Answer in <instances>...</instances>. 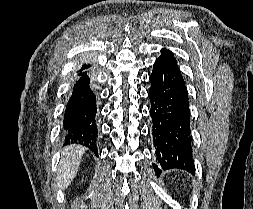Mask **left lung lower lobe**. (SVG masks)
Listing matches in <instances>:
<instances>
[{
    "instance_id": "left-lung-lower-lobe-1",
    "label": "left lung lower lobe",
    "mask_w": 253,
    "mask_h": 209,
    "mask_svg": "<svg viewBox=\"0 0 253 209\" xmlns=\"http://www.w3.org/2000/svg\"><path fill=\"white\" fill-rule=\"evenodd\" d=\"M150 116L156 160L163 169L195 173L188 92L177 64L158 58L149 77ZM157 175L161 172L156 164Z\"/></svg>"
}]
</instances>
